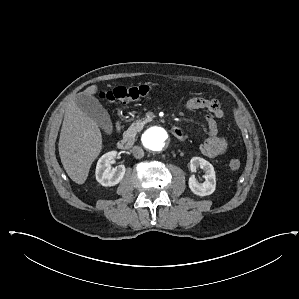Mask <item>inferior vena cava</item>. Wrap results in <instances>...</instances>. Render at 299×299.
I'll use <instances>...</instances> for the list:
<instances>
[{
  "instance_id": "602c4592",
  "label": "inferior vena cava",
  "mask_w": 299,
  "mask_h": 299,
  "mask_svg": "<svg viewBox=\"0 0 299 299\" xmlns=\"http://www.w3.org/2000/svg\"><path fill=\"white\" fill-rule=\"evenodd\" d=\"M131 152H132L133 156L137 159H140L144 156V151L140 146H134L131 149Z\"/></svg>"
}]
</instances>
